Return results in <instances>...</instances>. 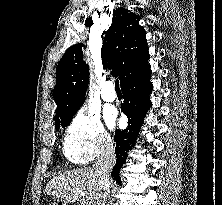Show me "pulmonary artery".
I'll return each mask as SVG.
<instances>
[{
	"mask_svg": "<svg viewBox=\"0 0 222 205\" xmlns=\"http://www.w3.org/2000/svg\"><path fill=\"white\" fill-rule=\"evenodd\" d=\"M101 97L106 102H113L116 99V93L111 82L104 84L101 91Z\"/></svg>",
	"mask_w": 222,
	"mask_h": 205,
	"instance_id": "obj_1",
	"label": "pulmonary artery"
}]
</instances>
